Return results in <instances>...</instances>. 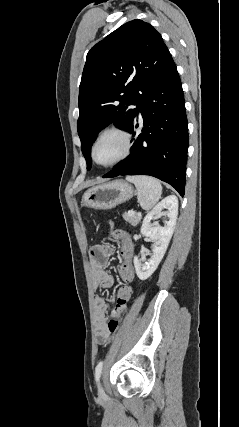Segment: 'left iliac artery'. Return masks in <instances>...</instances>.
Wrapping results in <instances>:
<instances>
[{
	"label": "left iliac artery",
	"mask_w": 239,
	"mask_h": 427,
	"mask_svg": "<svg viewBox=\"0 0 239 427\" xmlns=\"http://www.w3.org/2000/svg\"><path fill=\"white\" fill-rule=\"evenodd\" d=\"M103 368V361H100L95 368V379L99 381Z\"/></svg>",
	"instance_id": "left-iliac-artery-1"
}]
</instances>
